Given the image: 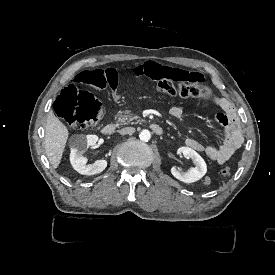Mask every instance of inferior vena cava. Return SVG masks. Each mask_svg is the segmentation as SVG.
Listing matches in <instances>:
<instances>
[{
	"label": "inferior vena cava",
	"instance_id": "1",
	"mask_svg": "<svg viewBox=\"0 0 275 275\" xmlns=\"http://www.w3.org/2000/svg\"><path fill=\"white\" fill-rule=\"evenodd\" d=\"M134 132H135L134 127H125V128L118 130V133L121 135H126V134L132 135Z\"/></svg>",
	"mask_w": 275,
	"mask_h": 275
}]
</instances>
